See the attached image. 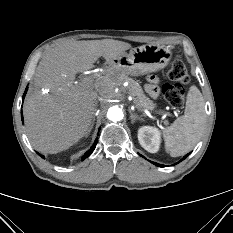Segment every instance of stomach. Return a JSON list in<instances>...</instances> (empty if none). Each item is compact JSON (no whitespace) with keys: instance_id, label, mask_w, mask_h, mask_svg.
I'll list each match as a JSON object with an SVG mask.
<instances>
[{"instance_id":"obj_1","label":"stomach","mask_w":233,"mask_h":233,"mask_svg":"<svg viewBox=\"0 0 233 233\" xmlns=\"http://www.w3.org/2000/svg\"><path fill=\"white\" fill-rule=\"evenodd\" d=\"M172 57L169 48L146 44L123 52L119 57L112 60L110 66L124 71L132 76L145 75L163 69Z\"/></svg>"}]
</instances>
